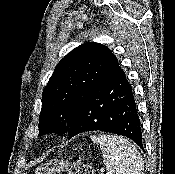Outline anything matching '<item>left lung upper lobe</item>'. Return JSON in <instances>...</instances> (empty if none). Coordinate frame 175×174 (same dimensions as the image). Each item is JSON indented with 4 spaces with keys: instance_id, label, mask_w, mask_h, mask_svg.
I'll return each instance as SVG.
<instances>
[{
    "instance_id": "left-lung-upper-lobe-1",
    "label": "left lung upper lobe",
    "mask_w": 175,
    "mask_h": 174,
    "mask_svg": "<svg viewBox=\"0 0 175 174\" xmlns=\"http://www.w3.org/2000/svg\"><path fill=\"white\" fill-rule=\"evenodd\" d=\"M118 65L110 49L99 43L88 42L69 52L56 66L42 93L39 135L66 133L82 97Z\"/></svg>"
}]
</instances>
